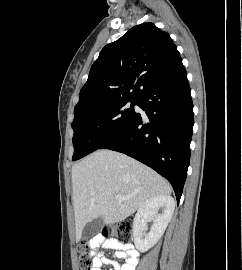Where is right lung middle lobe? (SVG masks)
Listing matches in <instances>:
<instances>
[{"label":"right lung middle lobe","instance_id":"obj_1","mask_svg":"<svg viewBox=\"0 0 242 270\" xmlns=\"http://www.w3.org/2000/svg\"><path fill=\"white\" fill-rule=\"evenodd\" d=\"M135 104L136 99L118 100L74 114L72 160H78L99 149L116 135L135 112Z\"/></svg>","mask_w":242,"mask_h":270}]
</instances>
